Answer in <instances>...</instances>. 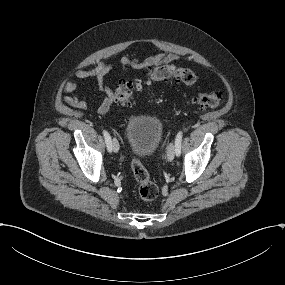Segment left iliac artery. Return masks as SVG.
<instances>
[{"label": "left iliac artery", "mask_w": 285, "mask_h": 285, "mask_svg": "<svg viewBox=\"0 0 285 285\" xmlns=\"http://www.w3.org/2000/svg\"><path fill=\"white\" fill-rule=\"evenodd\" d=\"M182 135H183L182 131H179L175 139V147H176L177 156L180 155L181 153Z\"/></svg>", "instance_id": "left-iliac-artery-1"}]
</instances>
